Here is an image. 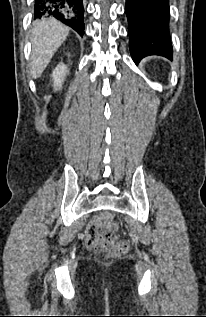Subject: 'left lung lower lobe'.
Here are the masks:
<instances>
[{
	"label": "left lung lower lobe",
	"instance_id": "1",
	"mask_svg": "<svg viewBox=\"0 0 206 317\" xmlns=\"http://www.w3.org/2000/svg\"><path fill=\"white\" fill-rule=\"evenodd\" d=\"M129 48L139 62L148 55L172 60L169 34V0H126Z\"/></svg>",
	"mask_w": 206,
	"mask_h": 317
}]
</instances>
